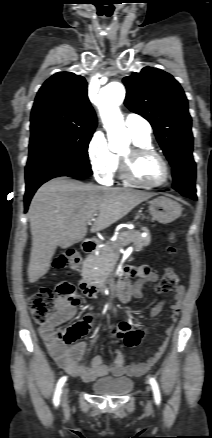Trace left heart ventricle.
I'll list each match as a JSON object with an SVG mask.
<instances>
[{
	"label": "left heart ventricle",
	"mask_w": 212,
	"mask_h": 438,
	"mask_svg": "<svg viewBox=\"0 0 212 438\" xmlns=\"http://www.w3.org/2000/svg\"><path fill=\"white\" fill-rule=\"evenodd\" d=\"M134 173L139 180L146 183H158L164 178V169L161 161L151 155L143 156L136 161Z\"/></svg>",
	"instance_id": "b2bd125f"
}]
</instances>
